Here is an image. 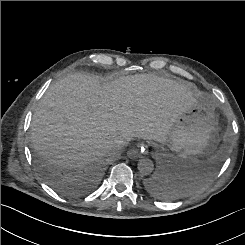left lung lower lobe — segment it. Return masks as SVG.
Segmentation results:
<instances>
[{
  "instance_id": "obj_1",
  "label": "left lung lower lobe",
  "mask_w": 245,
  "mask_h": 245,
  "mask_svg": "<svg viewBox=\"0 0 245 245\" xmlns=\"http://www.w3.org/2000/svg\"><path fill=\"white\" fill-rule=\"evenodd\" d=\"M167 177V174L152 175L144 181V187L155 197L161 199L169 198L177 191L167 185Z\"/></svg>"
}]
</instances>
